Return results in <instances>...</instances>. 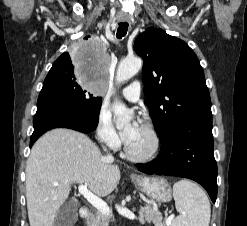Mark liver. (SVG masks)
<instances>
[{
	"label": "liver",
	"mask_w": 247,
	"mask_h": 226,
	"mask_svg": "<svg viewBox=\"0 0 247 226\" xmlns=\"http://www.w3.org/2000/svg\"><path fill=\"white\" fill-rule=\"evenodd\" d=\"M119 180V166L103 156L89 137L65 128L47 132L32 147L26 165L30 226H54L72 184H85L94 194L105 197Z\"/></svg>",
	"instance_id": "1"
}]
</instances>
